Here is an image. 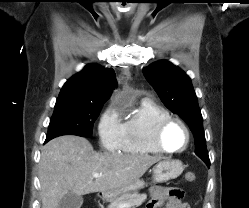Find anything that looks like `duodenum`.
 Segmentation results:
<instances>
[{
    "label": "duodenum",
    "mask_w": 249,
    "mask_h": 208,
    "mask_svg": "<svg viewBox=\"0 0 249 208\" xmlns=\"http://www.w3.org/2000/svg\"><path fill=\"white\" fill-rule=\"evenodd\" d=\"M100 196L104 198L105 197V193H101Z\"/></svg>",
    "instance_id": "duodenum-1"
}]
</instances>
